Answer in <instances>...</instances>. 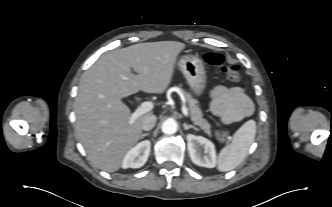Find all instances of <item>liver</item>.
<instances>
[{"mask_svg":"<svg viewBox=\"0 0 332 207\" xmlns=\"http://www.w3.org/2000/svg\"><path fill=\"white\" fill-rule=\"evenodd\" d=\"M184 48L185 44L176 41L139 43L103 54L83 73L75 99V130L97 168L119 170L151 114L139 116L130 125L131 111L121 99L138 91L163 93Z\"/></svg>","mask_w":332,"mask_h":207,"instance_id":"liver-1","label":"liver"}]
</instances>
